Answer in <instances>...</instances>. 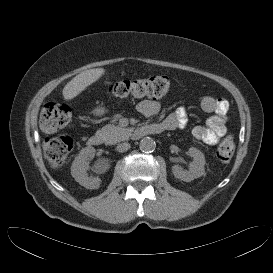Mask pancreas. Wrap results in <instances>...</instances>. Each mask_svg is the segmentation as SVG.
<instances>
[{
  "mask_svg": "<svg viewBox=\"0 0 273 273\" xmlns=\"http://www.w3.org/2000/svg\"><path fill=\"white\" fill-rule=\"evenodd\" d=\"M132 129L124 128L120 125L108 124L101 129V133L105 136L106 143L115 144L129 138Z\"/></svg>",
  "mask_w": 273,
  "mask_h": 273,
  "instance_id": "1",
  "label": "pancreas"
}]
</instances>
